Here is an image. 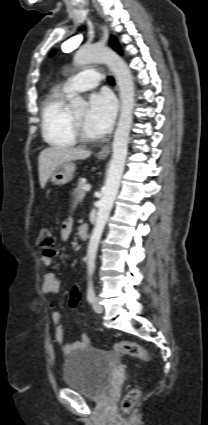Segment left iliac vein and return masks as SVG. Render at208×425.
<instances>
[{"label": "left iliac vein", "instance_id": "1", "mask_svg": "<svg viewBox=\"0 0 208 425\" xmlns=\"http://www.w3.org/2000/svg\"><path fill=\"white\" fill-rule=\"evenodd\" d=\"M93 309L97 313L103 312V306L100 304V299L98 297H95L93 300Z\"/></svg>", "mask_w": 208, "mask_h": 425}]
</instances>
